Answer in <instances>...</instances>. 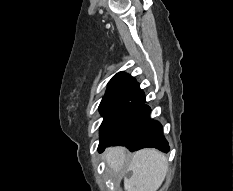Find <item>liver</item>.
Listing matches in <instances>:
<instances>
[{
    "mask_svg": "<svg viewBox=\"0 0 233 191\" xmlns=\"http://www.w3.org/2000/svg\"><path fill=\"white\" fill-rule=\"evenodd\" d=\"M107 165L119 174L128 162V154L123 147H113L105 151ZM127 170L132 172L124 180L126 191H157L162 185L167 171V157L153 148L137 151L129 160Z\"/></svg>",
    "mask_w": 233,
    "mask_h": 191,
    "instance_id": "1",
    "label": "liver"
}]
</instances>
